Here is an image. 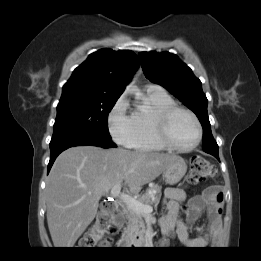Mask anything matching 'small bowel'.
Returning a JSON list of instances; mask_svg holds the SVG:
<instances>
[{
	"label": "small bowel",
	"instance_id": "small-bowel-1",
	"mask_svg": "<svg viewBox=\"0 0 261 261\" xmlns=\"http://www.w3.org/2000/svg\"><path fill=\"white\" fill-rule=\"evenodd\" d=\"M223 195V190L220 187L210 186L202 195L196 196L190 201L188 211L190 222H196L202 214H205L210 224L209 234L190 238L187 226L180 218V210L186 201V193L180 187L168 188L164 197L166 214L160 220L162 232L167 234L175 228L179 240L189 249L208 246L211 237L217 234L221 227Z\"/></svg>",
	"mask_w": 261,
	"mask_h": 261
}]
</instances>
